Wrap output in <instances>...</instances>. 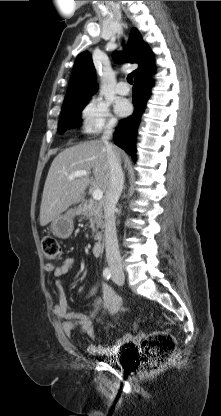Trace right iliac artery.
I'll list each match as a JSON object with an SVG mask.
<instances>
[{"instance_id": "obj_1", "label": "right iliac artery", "mask_w": 221, "mask_h": 416, "mask_svg": "<svg viewBox=\"0 0 221 416\" xmlns=\"http://www.w3.org/2000/svg\"><path fill=\"white\" fill-rule=\"evenodd\" d=\"M103 276H104V278H106V279H109V278L111 277V271H110V269H109V268H105V269L103 270Z\"/></svg>"}]
</instances>
